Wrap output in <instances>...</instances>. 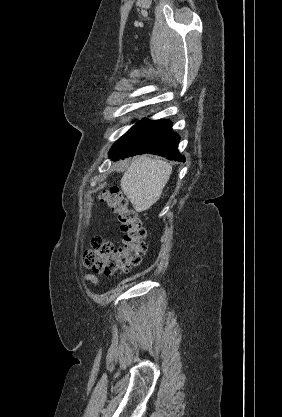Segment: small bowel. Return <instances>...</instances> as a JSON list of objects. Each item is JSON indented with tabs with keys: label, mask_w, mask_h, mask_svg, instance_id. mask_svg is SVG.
Instances as JSON below:
<instances>
[{
	"label": "small bowel",
	"mask_w": 282,
	"mask_h": 417,
	"mask_svg": "<svg viewBox=\"0 0 282 417\" xmlns=\"http://www.w3.org/2000/svg\"><path fill=\"white\" fill-rule=\"evenodd\" d=\"M83 280L93 284L94 286L98 285L99 279L96 275L90 273H84L82 275Z\"/></svg>",
	"instance_id": "1"
}]
</instances>
